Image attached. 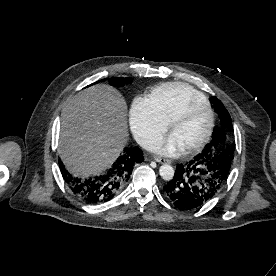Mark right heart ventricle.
<instances>
[{"label":"right heart ventricle","instance_id":"1","mask_svg":"<svg viewBox=\"0 0 276 276\" xmlns=\"http://www.w3.org/2000/svg\"><path fill=\"white\" fill-rule=\"evenodd\" d=\"M206 99L202 93L182 82H167L155 87L148 100L166 121L183 109L191 100Z\"/></svg>","mask_w":276,"mask_h":276}]
</instances>
